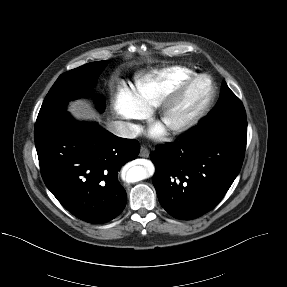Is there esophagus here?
I'll use <instances>...</instances> for the list:
<instances>
[{
    "mask_svg": "<svg viewBox=\"0 0 287 287\" xmlns=\"http://www.w3.org/2000/svg\"><path fill=\"white\" fill-rule=\"evenodd\" d=\"M139 156L143 158L149 157V150L146 147H141Z\"/></svg>",
    "mask_w": 287,
    "mask_h": 287,
    "instance_id": "esophagus-1",
    "label": "esophagus"
}]
</instances>
